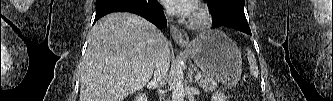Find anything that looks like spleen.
<instances>
[{"label":"spleen","instance_id":"1","mask_svg":"<svg viewBox=\"0 0 333 101\" xmlns=\"http://www.w3.org/2000/svg\"><path fill=\"white\" fill-rule=\"evenodd\" d=\"M247 58L250 66L251 75L254 77H258L259 70L256 63V59L253 52L249 48H247Z\"/></svg>","mask_w":333,"mask_h":101}]
</instances>
